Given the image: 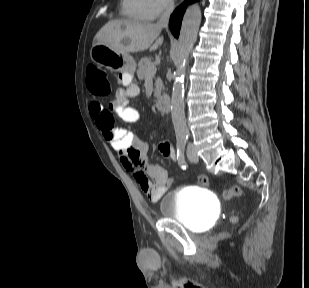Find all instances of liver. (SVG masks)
I'll use <instances>...</instances> for the list:
<instances>
[{
  "label": "liver",
  "instance_id": "6515ba94",
  "mask_svg": "<svg viewBox=\"0 0 309 288\" xmlns=\"http://www.w3.org/2000/svg\"><path fill=\"white\" fill-rule=\"evenodd\" d=\"M161 29L152 23L111 20L95 35L93 45L105 44L124 54L145 51L148 48L155 51L163 43V37H159Z\"/></svg>",
  "mask_w": 309,
  "mask_h": 288
}]
</instances>
